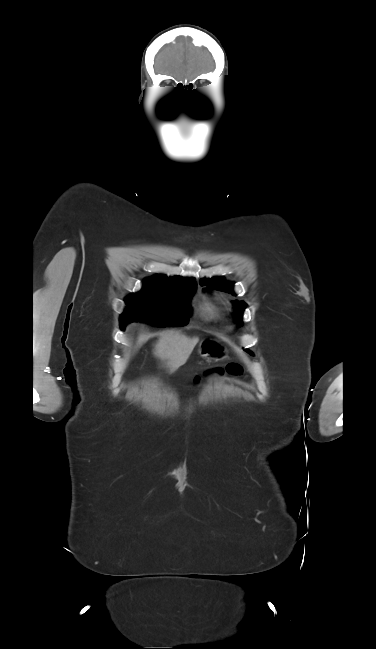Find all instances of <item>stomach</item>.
<instances>
[{
    "instance_id": "stomach-1",
    "label": "stomach",
    "mask_w": 376,
    "mask_h": 649,
    "mask_svg": "<svg viewBox=\"0 0 376 649\" xmlns=\"http://www.w3.org/2000/svg\"><path fill=\"white\" fill-rule=\"evenodd\" d=\"M199 354L208 360L222 361L228 358V350L218 340L208 339L200 343Z\"/></svg>"
}]
</instances>
